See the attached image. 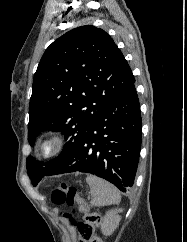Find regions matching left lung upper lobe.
<instances>
[{"label": "left lung upper lobe", "mask_w": 187, "mask_h": 242, "mask_svg": "<svg viewBox=\"0 0 187 242\" xmlns=\"http://www.w3.org/2000/svg\"><path fill=\"white\" fill-rule=\"evenodd\" d=\"M134 82L122 52L102 29L81 26L56 39L34 74L28 140L33 145L51 130L62 132L67 142L49 162L27 158L31 180L63 162L106 106Z\"/></svg>", "instance_id": "1"}]
</instances>
